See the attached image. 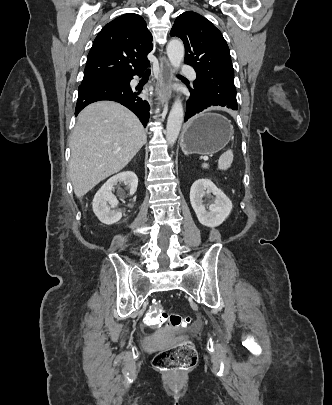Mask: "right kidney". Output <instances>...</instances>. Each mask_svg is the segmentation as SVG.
I'll list each match as a JSON object with an SVG mask.
<instances>
[{"instance_id": "right-kidney-1", "label": "right kidney", "mask_w": 332, "mask_h": 405, "mask_svg": "<svg viewBox=\"0 0 332 405\" xmlns=\"http://www.w3.org/2000/svg\"><path fill=\"white\" fill-rule=\"evenodd\" d=\"M118 182L127 185L129 194L133 195L137 190L138 177L131 171L121 172L107 180L95 194L92 203L93 212L103 224L112 225L122 218L121 211L116 210L118 200L112 193L113 186L117 185Z\"/></svg>"}]
</instances>
